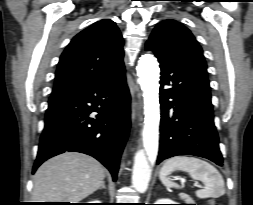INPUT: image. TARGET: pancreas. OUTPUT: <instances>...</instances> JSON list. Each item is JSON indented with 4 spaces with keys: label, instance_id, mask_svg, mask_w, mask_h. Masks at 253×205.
<instances>
[{
    "label": "pancreas",
    "instance_id": "1",
    "mask_svg": "<svg viewBox=\"0 0 253 205\" xmlns=\"http://www.w3.org/2000/svg\"><path fill=\"white\" fill-rule=\"evenodd\" d=\"M179 196H180L181 199H184V200H185L186 202H188V203L193 201V200L190 198V196L187 195V194H185V193H180Z\"/></svg>",
    "mask_w": 253,
    "mask_h": 205
}]
</instances>
